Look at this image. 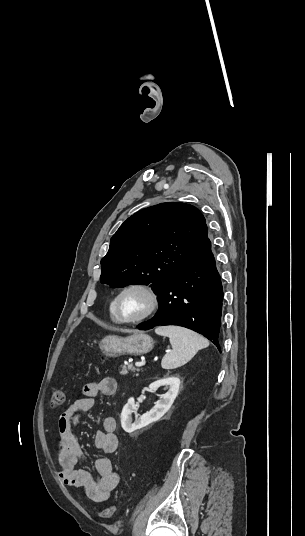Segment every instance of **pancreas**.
Segmentation results:
<instances>
[{"label":"pancreas","instance_id":"obj_1","mask_svg":"<svg viewBox=\"0 0 305 536\" xmlns=\"http://www.w3.org/2000/svg\"><path fill=\"white\" fill-rule=\"evenodd\" d=\"M122 370H120V374L122 376H126V374H129V372H140L138 368H134L132 362H128V364H125V366H121Z\"/></svg>","mask_w":305,"mask_h":536}]
</instances>
